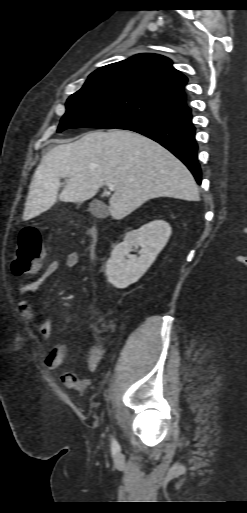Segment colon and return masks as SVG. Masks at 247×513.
Listing matches in <instances>:
<instances>
[{
	"label": "colon",
	"mask_w": 247,
	"mask_h": 513,
	"mask_svg": "<svg viewBox=\"0 0 247 513\" xmlns=\"http://www.w3.org/2000/svg\"><path fill=\"white\" fill-rule=\"evenodd\" d=\"M43 255L42 237L39 229L27 226L17 238L12 261V272L16 276L30 273L40 265Z\"/></svg>",
	"instance_id": "obj_1"
}]
</instances>
